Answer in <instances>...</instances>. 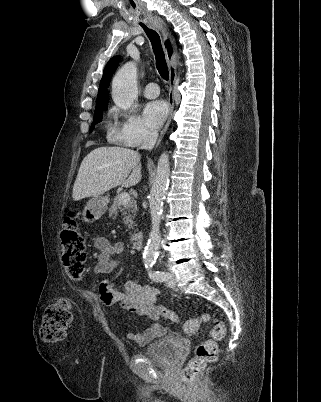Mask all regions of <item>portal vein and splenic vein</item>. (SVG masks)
Listing matches in <instances>:
<instances>
[{
    "label": "portal vein and splenic vein",
    "instance_id": "1",
    "mask_svg": "<svg viewBox=\"0 0 321 402\" xmlns=\"http://www.w3.org/2000/svg\"><path fill=\"white\" fill-rule=\"evenodd\" d=\"M119 201L121 204L125 205L130 201V195L127 192H123L119 195Z\"/></svg>",
    "mask_w": 321,
    "mask_h": 402
}]
</instances>
